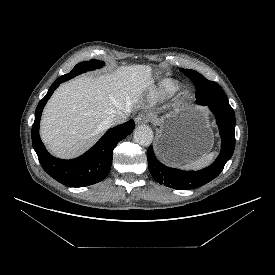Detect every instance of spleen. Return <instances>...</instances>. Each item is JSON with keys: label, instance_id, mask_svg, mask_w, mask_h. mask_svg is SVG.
Returning <instances> with one entry per match:
<instances>
[{"label": "spleen", "instance_id": "obj_1", "mask_svg": "<svg viewBox=\"0 0 275 275\" xmlns=\"http://www.w3.org/2000/svg\"><path fill=\"white\" fill-rule=\"evenodd\" d=\"M215 157V152H211L209 154L203 155L201 158L190 162L188 164L182 165V168L185 169H200L207 165H209Z\"/></svg>", "mask_w": 275, "mask_h": 275}]
</instances>
